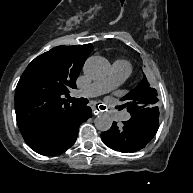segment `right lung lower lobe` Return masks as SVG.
<instances>
[{"label":"right lung lower lobe","mask_w":193,"mask_h":193,"mask_svg":"<svg viewBox=\"0 0 193 193\" xmlns=\"http://www.w3.org/2000/svg\"><path fill=\"white\" fill-rule=\"evenodd\" d=\"M91 116L90 107H82L79 113L64 126V128L53 138L43 141L27 143L35 152L42 155H57L70 148L78 134V128L81 123Z\"/></svg>","instance_id":"98d812e1"}]
</instances>
